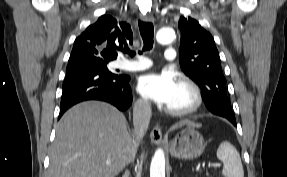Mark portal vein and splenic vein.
<instances>
[{"instance_id": "18ae733b", "label": "portal vein and splenic vein", "mask_w": 287, "mask_h": 177, "mask_svg": "<svg viewBox=\"0 0 287 177\" xmlns=\"http://www.w3.org/2000/svg\"><path fill=\"white\" fill-rule=\"evenodd\" d=\"M106 164H110V161H107ZM208 168H219L220 164H208Z\"/></svg>"}]
</instances>
